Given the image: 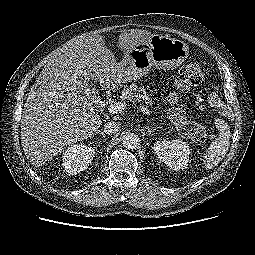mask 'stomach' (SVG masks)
I'll return each instance as SVG.
<instances>
[{"label": "stomach", "instance_id": "1", "mask_svg": "<svg viewBox=\"0 0 255 255\" xmlns=\"http://www.w3.org/2000/svg\"><path fill=\"white\" fill-rule=\"evenodd\" d=\"M188 45L178 39L153 34L144 43L123 52V60L109 83L113 88L145 76L155 66L170 70L180 66L188 57Z\"/></svg>", "mask_w": 255, "mask_h": 255}]
</instances>
